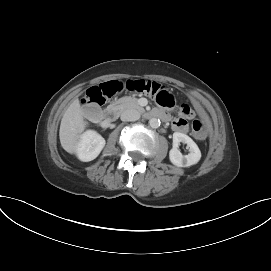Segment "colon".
Returning a JSON list of instances; mask_svg holds the SVG:
<instances>
[{"instance_id":"obj_1","label":"colon","mask_w":271,"mask_h":271,"mask_svg":"<svg viewBox=\"0 0 271 271\" xmlns=\"http://www.w3.org/2000/svg\"><path fill=\"white\" fill-rule=\"evenodd\" d=\"M123 90L149 95L163 107H172L174 105L172 94L165 90L159 83L145 79L112 80L98 86H93L87 90L83 102L92 108H97L102 106L107 98ZM180 111L186 116L192 115V109L187 104H182ZM192 133L197 140H204L206 138L207 130L201 120L196 119L193 121Z\"/></svg>"}]
</instances>
